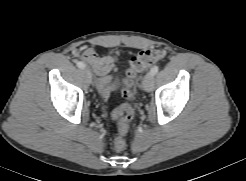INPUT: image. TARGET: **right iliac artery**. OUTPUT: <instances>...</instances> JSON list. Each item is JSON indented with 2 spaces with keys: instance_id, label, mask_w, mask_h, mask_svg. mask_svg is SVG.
Instances as JSON below:
<instances>
[{
  "instance_id": "1",
  "label": "right iliac artery",
  "mask_w": 246,
  "mask_h": 181,
  "mask_svg": "<svg viewBox=\"0 0 246 181\" xmlns=\"http://www.w3.org/2000/svg\"><path fill=\"white\" fill-rule=\"evenodd\" d=\"M77 66L80 68V69H84L86 67V65L83 63V62H77Z\"/></svg>"
}]
</instances>
